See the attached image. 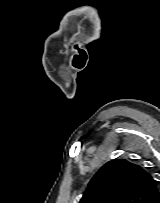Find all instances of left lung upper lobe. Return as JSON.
<instances>
[{
	"mask_svg": "<svg viewBox=\"0 0 160 203\" xmlns=\"http://www.w3.org/2000/svg\"><path fill=\"white\" fill-rule=\"evenodd\" d=\"M156 181L144 168L127 160H111L91 179L79 203H158Z\"/></svg>",
	"mask_w": 160,
	"mask_h": 203,
	"instance_id": "obj_1",
	"label": "left lung upper lobe"
}]
</instances>
